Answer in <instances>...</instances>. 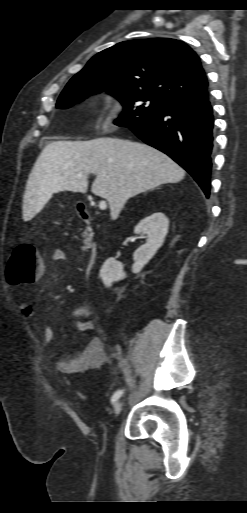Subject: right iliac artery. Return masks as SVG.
<instances>
[{
  "label": "right iliac artery",
  "mask_w": 247,
  "mask_h": 513,
  "mask_svg": "<svg viewBox=\"0 0 247 513\" xmlns=\"http://www.w3.org/2000/svg\"><path fill=\"white\" fill-rule=\"evenodd\" d=\"M123 392H124V390H118V391H116V392L113 394L112 398H111V402H112V403H115V402H116V401L121 397V395L123 394Z\"/></svg>",
  "instance_id": "82829eb1"
}]
</instances>
